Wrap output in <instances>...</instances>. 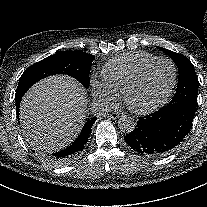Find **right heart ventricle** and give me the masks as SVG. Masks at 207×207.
<instances>
[{
    "mask_svg": "<svg viewBox=\"0 0 207 207\" xmlns=\"http://www.w3.org/2000/svg\"><path fill=\"white\" fill-rule=\"evenodd\" d=\"M157 57L146 52H134L119 56L104 65L101 75L103 81L114 95L121 97L127 84L137 75L140 69Z\"/></svg>",
    "mask_w": 207,
    "mask_h": 207,
    "instance_id": "right-heart-ventricle-1",
    "label": "right heart ventricle"
}]
</instances>
